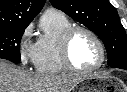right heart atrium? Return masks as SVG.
<instances>
[{"label":"right heart atrium","instance_id":"d8ad5b80","mask_svg":"<svg viewBox=\"0 0 127 92\" xmlns=\"http://www.w3.org/2000/svg\"><path fill=\"white\" fill-rule=\"evenodd\" d=\"M33 27L30 25L23 31L19 43L18 54L22 65L34 64L36 43L32 41Z\"/></svg>","mask_w":127,"mask_h":92}]
</instances>
